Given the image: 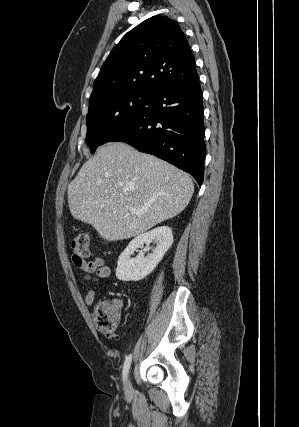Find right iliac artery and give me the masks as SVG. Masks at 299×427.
<instances>
[{
    "instance_id": "right-iliac-artery-1",
    "label": "right iliac artery",
    "mask_w": 299,
    "mask_h": 427,
    "mask_svg": "<svg viewBox=\"0 0 299 427\" xmlns=\"http://www.w3.org/2000/svg\"><path fill=\"white\" fill-rule=\"evenodd\" d=\"M131 360H132V356L129 355L127 356L124 365H123V381L126 380L129 369H130V365H131Z\"/></svg>"
}]
</instances>
